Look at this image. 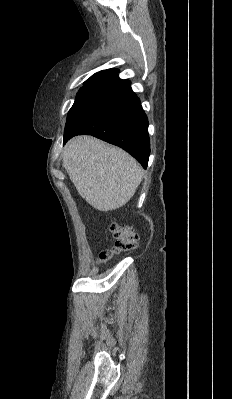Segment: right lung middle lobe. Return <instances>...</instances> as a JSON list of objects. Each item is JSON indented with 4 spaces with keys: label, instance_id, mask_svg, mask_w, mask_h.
Returning a JSON list of instances; mask_svg holds the SVG:
<instances>
[{
    "label": "right lung middle lobe",
    "instance_id": "obj_1",
    "mask_svg": "<svg viewBox=\"0 0 232 399\" xmlns=\"http://www.w3.org/2000/svg\"><path fill=\"white\" fill-rule=\"evenodd\" d=\"M83 85H84V86L80 89V91H79V93L77 94V96L81 95L83 92L87 91L88 89L94 87V86L97 85V84H95V83H93V82L86 81Z\"/></svg>",
    "mask_w": 232,
    "mask_h": 399
}]
</instances>
